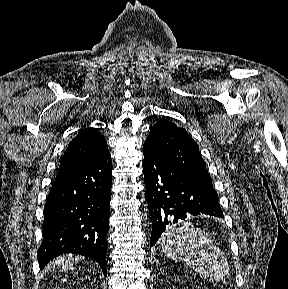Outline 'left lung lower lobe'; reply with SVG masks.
I'll use <instances>...</instances> for the list:
<instances>
[{
	"label": "left lung lower lobe",
	"instance_id": "1",
	"mask_svg": "<svg viewBox=\"0 0 288 289\" xmlns=\"http://www.w3.org/2000/svg\"><path fill=\"white\" fill-rule=\"evenodd\" d=\"M145 196L152 220L151 246L171 224L187 216L223 217L212 184L168 164L144 143Z\"/></svg>",
	"mask_w": 288,
	"mask_h": 289
}]
</instances>
